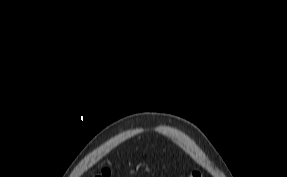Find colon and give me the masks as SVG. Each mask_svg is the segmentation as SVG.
Wrapping results in <instances>:
<instances>
[{
    "label": "colon",
    "instance_id": "1",
    "mask_svg": "<svg viewBox=\"0 0 287 177\" xmlns=\"http://www.w3.org/2000/svg\"><path fill=\"white\" fill-rule=\"evenodd\" d=\"M109 175H110V171L108 169H104L96 177H109ZM185 177H201V174L199 172L193 171L189 173L188 175H186Z\"/></svg>",
    "mask_w": 287,
    "mask_h": 177
}]
</instances>
